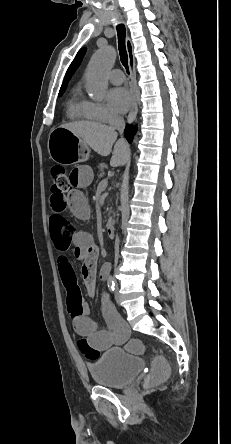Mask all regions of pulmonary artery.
<instances>
[{
  "label": "pulmonary artery",
  "instance_id": "obj_1",
  "mask_svg": "<svg viewBox=\"0 0 231 444\" xmlns=\"http://www.w3.org/2000/svg\"><path fill=\"white\" fill-rule=\"evenodd\" d=\"M109 79L113 84H121L125 80V75L122 70L114 69L110 72Z\"/></svg>",
  "mask_w": 231,
  "mask_h": 444
}]
</instances>
